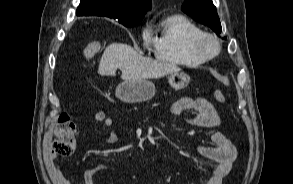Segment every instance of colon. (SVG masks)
Returning <instances> with one entry per match:
<instances>
[{
  "label": "colon",
  "instance_id": "obj_1",
  "mask_svg": "<svg viewBox=\"0 0 293 184\" xmlns=\"http://www.w3.org/2000/svg\"><path fill=\"white\" fill-rule=\"evenodd\" d=\"M102 44L100 41H94L88 44L82 51L84 58H91L101 50ZM213 96L219 103H225L226 97L224 93L215 89ZM75 125L70 116L66 113L60 114L54 130V141L52 145V154L55 157H68L75 150Z\"/></svg>",
  "mask_w": 293,
  "mask_h": 184
}]
</instances>
